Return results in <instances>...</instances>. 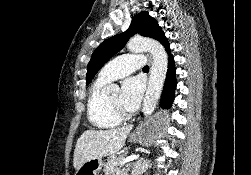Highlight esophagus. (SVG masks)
I'll list each match as a JSON object with an SVG mask.
<instances>
[{
  "label": "esophagus",
  "mask_w": 251,
  "mask_h": 175,
  "mask_svg": "<svg viewBox=\"0 0 251 175\" xmlns=\"http://www.w3.org/2000/svg\"><path fill=\"white\" fill-rule=\"evenodd\" d=\"M148 59H149V63L151 64L152 63V58L150 55H148Z\"/></svg>",
  "instance_id": "34e87169"
}]
</instances>
